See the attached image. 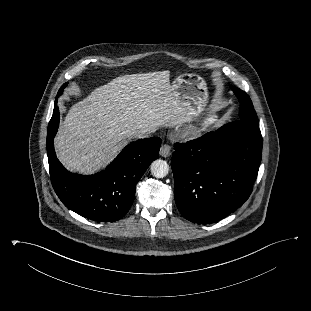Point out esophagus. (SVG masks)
<instances>
[{
  "mask_svg": "<svg viewBox=\"0 0 311 311\" xmlns=\"http://www.w3.org/2000/svg\"><path fill=\"white\" fill-rule=\"evenodd\" d=\"M170 154H171V148L166 144L162 145L160 148V155L166 158V157H169Z\"/></svg>",
  "mask_w": 311,
  "mask_h": 311,
  "instance_id": "34e87169",
  "label": "esophagus"
}]
</instances>
